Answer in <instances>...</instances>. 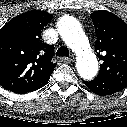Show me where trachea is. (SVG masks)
<instances>
[{"label": "trachea", "mask_w": 127, "mask_h": 127, "mask_svg": "<svg viewBox=\"0 0 127 127\" xmlns=\"http://www.w3.org/2000/svg\"><path fill=\"white\" fill-rule=\"evenodd\" d=\"M56 56H65V57H68L69 56V50H68V48H66L65 46H61L60 48H58V50L56 52Z\"/></svg>", "instance_id": "3493384b"}]
</instances>
